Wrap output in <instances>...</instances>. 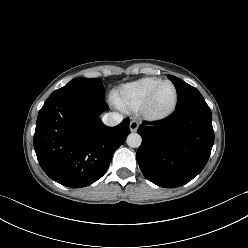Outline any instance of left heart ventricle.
<instances>
[{"mask_svg":"<svg viewBox=\"0 0 248 248\" xmlns=\"http://www.w3.org/2000/svg\"><path fill=\"white\" fill-rule=\"evenodd\" d=\"M174 100V90L171 85H162L155 93L149 110L151 113L159 114L168 110Z\"/></svg>","mask_w":248,"mask_h":248,"instance_id":"obj_1","label":"left heart ventricle"}]
</instances>
